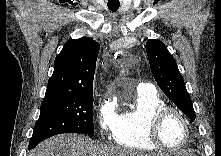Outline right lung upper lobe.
<instances>
[{"label": "right lung upper lobe", "mask_w": 221, "mask_h": 156, "mask_svg": "<svg viewBox=\"0 0 221 156\" xmlns=\"http://www.w3.org/2000/svg\"><path fill=\"white\" fill-rule=\"evenodd\" d=\"M99 49L100 44L89 37L68 40L55 58L44 99L93 91Z\"/></svg>", "instance_id": "1"}]
</instances>
